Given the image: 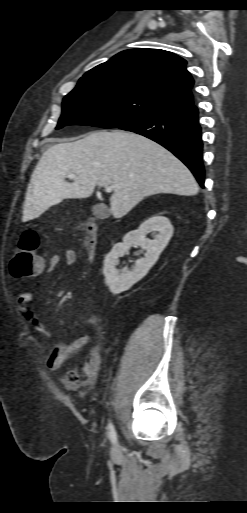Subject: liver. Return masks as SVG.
Returning a JSON list of instances; mask_svg holds the SVG:
<instances>
[{
  "instance_id": "liver-1",
  "label": "liver",
  "mask_w": 247,
  "mask_h": 513,
  "mask_svg": "<svg viewBox=\"0 0 247 513\" xmlns=\"http://www.w3.org/2000/svg\"><path fill=\"white\" fill-rule=\"evenodd\" d=\"M69 174L76 175L72 183L65 181ZM96 186L114 187V218H122L147 196L198 193L190 170L157 142L133 132L102 130L42 154L27 189L25 216L36 218L63 199L87 198Z\"/></svg>"
}]
</instances>
